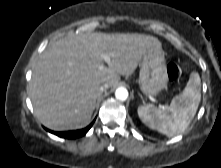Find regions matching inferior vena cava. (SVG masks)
Segmentation results:
<instances>
[{
    "label": "inferior vena cava",
    "mask_w": 221,
    "mask_h": 168,
    "mask_svg": "<svg viewBox=\"0 0 221 168\" xmlns=\"http://www.w3.org/2000/svg\"><path fill=\"white\" fill-rule=\"evenodd\" d=\"M108 88V84H104V85H101L99 90L100 92H103L104 90H106Z\"/></svg>",
    "instance_id": "obj_1"
}]
</instances>
